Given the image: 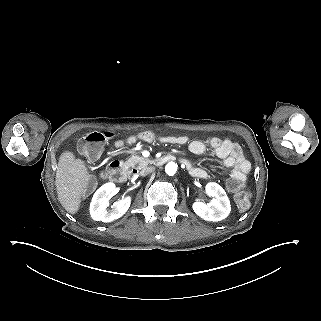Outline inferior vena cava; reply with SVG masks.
Returning a JSON list of instances; mask_svg holds the SVG:
<instances>
[{
  "label": "inferior vena cava",
  "mask_w": 321,
  "mask_h": 321,
  "mask_svg": "<svg viewBox=\"0 0 321 321\" xmlns=\"http://www.w3.org/2000/svg\"><path fill=\"white\" fill-rule=\"evenodd\" d=\"M154 170H155V168L153 166H148V167L143 168L139 174H140V176H147V175L151 174Z\"/></svg>",
  "instance_id": "obj_1"
}]
</instances>
